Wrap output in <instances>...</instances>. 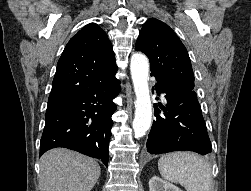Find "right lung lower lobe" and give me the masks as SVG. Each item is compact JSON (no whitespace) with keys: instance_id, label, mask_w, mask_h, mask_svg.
Returning a JSON list of instances; mask_svg holds the SVG:
<instances>
[{"instance_id":"obj_1","label":"right lung lower lobe","mask_w":251,"mask_h":191,"mask_svg":"<svg viewBox=\"0 0 251 191\" xmlns=\"http://www.w3.org/2000/svg\"><path fill=\"white\" fill-rule=\"evenodd\" d=\"M120 92L119 80L95 86L64 103L47 107L40 156L65 147L100 159L108 166V145L116 110L112 102Z\"/></svg>"}]
</instances>
